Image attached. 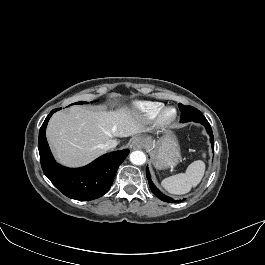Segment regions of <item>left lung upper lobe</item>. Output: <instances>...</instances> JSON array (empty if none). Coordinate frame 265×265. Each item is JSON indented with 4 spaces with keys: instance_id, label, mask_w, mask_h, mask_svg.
<instances>
[{
    "instance_id": "5c2ea615",
    "label": "left lung upper lobe",
    "mask_w": 265,
    "mask_h": 265,
    "mask_svg": "<svg viewBox=\"0 0 265 265\" xmlns=\"http://www.w3.org/2000/svg\"><path fill=\"white\" fill-rule=\"evenodd\" d=\"M179 109L181 113V120L180 122H189L192 121L194 118L202 117L203 114L196 108L192 106H185L183 104H179Z\"/></svg>"
}]
</instances>
